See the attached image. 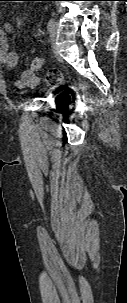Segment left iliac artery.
Masks as SVG:
<instances>
[{
    "instance_id": "1",
    "label": "left iliac artery",
    "mask_w": 127,
    "mask_h": 303,
    "mask_svg": "<svg viewBox=\"0 0 127 303\" xmlns=\"http://www.w3.org/2000/svg\"><path fill=\"white\" fill-rule=\"evenodd\" d=\"M56 26V21L54 18H51L47 24L48 31H51Z\"/></svg>"
}]
</instances>
